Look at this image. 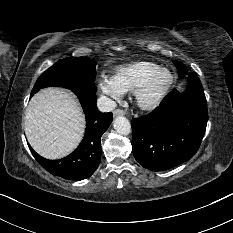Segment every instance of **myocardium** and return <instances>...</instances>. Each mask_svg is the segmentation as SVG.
<instances>
[{
	"label": "myocardium",
	"mask_w": 233,
	"mask_h": 233,
	"mask_svg": "<svg viewBox=\"0 0 233 233\" xmlns=\"http://www.w3.org/2000/svg\"><path fill=\"white\" fill-rule=\"evenodd\" d=\"M167 73L168 80L164 86L154 94H150V89L155 79L161 74ZM174 83L173 73L167 68H158L151 73L143 83L135 90V102L142 110H153L160 105L168 94Z\"/></svg>",
	"instance_id": "1"
}]
</instances>
